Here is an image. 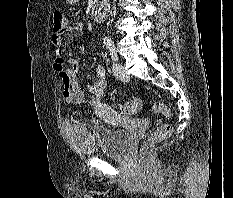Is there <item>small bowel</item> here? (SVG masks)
I'll return each instance as SVG.
<instances>
[{
	"label": "small bowel",
	"instance_id": "1",
	"mask_svg": "<svg viewBox=\"0 0 233 198\" xmlns=\"http://www.w3.org/2000/svg\"><path fill=\"white\" fill-rule=\"evenodd\" d=\"M83 31L84 24L82 22L65 25L64 29L60 32L53 31L51 43L59 49L63 45L65 35L82 34ZM53 69L63 82V97L67 103L91 106L94 108L97 116L101 118H107L109 116L108 108L101 102L106 88V73L103 66L99 65L96 67V80L86 84V90L90 94L89 98L85 97L77 81V75L80 69V63L77 59L66 58L58 50L53 60Z\"/></svg>",
	"mask_w": 233,
	"mask_h": 198
}]
</instances>
